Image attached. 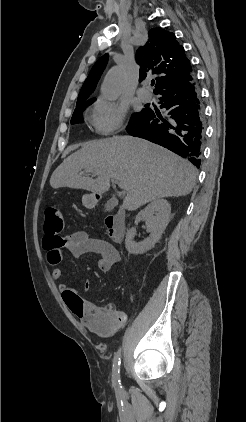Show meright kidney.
I'll use <instances>...</instances> for the list:
<instances>
[{"instance_id": "obj_1", "label": "right kidney", "mask_w": 246, "mask_h": 422, "mask_svg": "<svg viewBox=\"0 0 246 422\" xmlns=\"http://www.w3.org/2000/svg\"><path fill=\"white\" fill-rule=\"evenodd\" d=\"M171 214V206L165 199H157L151 202L145 209L140 211L135 219V225L141 220L147 222V231L149 237L144 241L137 243L134 241L136 228L132 227L128 230L125 239L126 249L130 254H143L154 247L161 238L166 229Z\"/></svg>"}]
</instances>
